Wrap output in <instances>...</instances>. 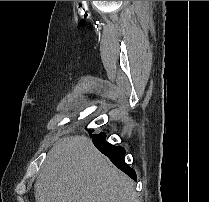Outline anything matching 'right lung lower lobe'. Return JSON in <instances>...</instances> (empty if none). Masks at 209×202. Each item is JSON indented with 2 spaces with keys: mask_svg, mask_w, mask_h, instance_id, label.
<instances>
[{
  "mask_svg": "<svg viewBox=\"0 0 209 202\" xmlns=\"http://www.w3.org/2000/svg\"><path fill=\"white\" fill-rule=\"evenodd\" d=\"M89 134L94 145L100 152L105 154L116 167L130 176L133 180H137L135 171L131 169L124 161L126 151L123 147L114 146L108 143L106 141L105 133L101 132L99 134H92L89 132Z\"/></svg>",
  "mask_w": 209,
  "mask_h": 202,
  "instance_id": "1",
  "label": "right lung lower lobe"
}]
</instances>
